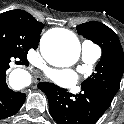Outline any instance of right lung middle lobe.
I'll use <instances>...</instances> for the list:
<instances>
[{
    "label": "right lung middle lobe",
    "instance_id": "dd1d6c3e",
    "mask_svg": "<svg viewBox=\"0 0 124 124\" xmlns=\"http://www.w3.org/2000/svg\"><path fill=\"white\" fill-rule=\"evenodd\" d=\"M37 47L38 41L24 25L9 15L0 14V52L26 59L28 50Z\"/></svg>",
    "mask_w": 124,
    "mask_h": 124
}]
</instances>
